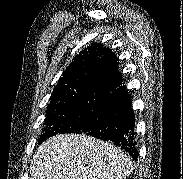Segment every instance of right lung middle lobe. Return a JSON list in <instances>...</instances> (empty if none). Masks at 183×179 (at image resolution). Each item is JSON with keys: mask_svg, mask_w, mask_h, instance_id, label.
<instances>
[{"mask_svg": "<svg viewBox=\"0 0 183 179\" xmlns=\"http://www.w3.org/2000/svg\"><path fill=\"white\" fill-rule=\"evenodd\" d=\"M105 102V96L92 95L48 106L44 121L46 127L38 143L57 134L80 131L98 117Z\"/></svg>", "mask_w": 183, "mask_h": 179, "instance_id": "right-lung-middle-lobe-1", "label": "right lung middle lobe"}]
</instances>
